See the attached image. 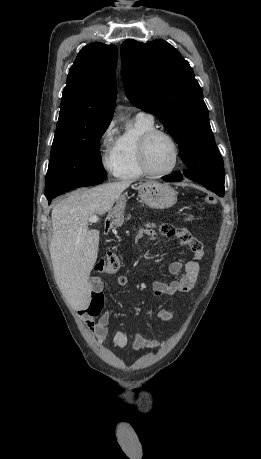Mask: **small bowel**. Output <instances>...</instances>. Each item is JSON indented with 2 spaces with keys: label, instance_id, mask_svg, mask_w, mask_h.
Here are the masks:
<instances>
[{
  "label": "small bowel",
  "instance_id": "obj_1",
  "mask_svg": "<svg viewBox=\"0 0 261 459\" xmlns=\"http://www.w3.org/2000/svg\"><path fill=\"white\" fill-rule=\"evenodd\" d=\"M144 232L150 236V238H156V233L154 231L147 229L144 230ZM166 236L176 237L183 244L188 246L193 252V258L186 262L173 261L170 263L168 271L171 275L176 276L172 282L166 283L160 280L153 281V292L158 297L186 294L190 292L198 278V260L203 255L202 242L195 236L191 235L186 229L172 228L171 234ZM116 282L118 286H125L128 283V278L121 275L117 278ZM93 285L95 291L94 293L103 294V282L100 279H94ZM157 317L163 321H171L175 317V311L167 308H160L157 311ZM109 322L110 313L104 312L97 320L88 318L86 320V325L97 340L103 341L108 333ZM127 344H131L136 349L143 350H154L160 346L159 341L147 339L138 332L117 331L113 336V345L115 347L122 348Z\"/></svg>",
  "mask_w": 261,
  "mask_h": 459
}]
</instances>
